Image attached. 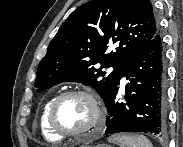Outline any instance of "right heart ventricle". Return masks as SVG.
<instances>
[{
    "instance_id": "1",
    "label": "right heart ventricle",
    "mask_w": 183,
    "mask_h": 147,
    "mask_svg": "<svg viewBox=\"0 0 183 147\" xmlns=\"http://www.w3.org/2000/svg\"><path fill=\"white\" fill-rule=\"evenodd\" d=\"M57 97L56 94L51 95L43 104L41 113H40V129L42 132V135L50 141H60L62 140V136L57 135L55 132L51 130V128L48 125L47 121V115L48 110L50 108L51 103L53 100Z\"/></svg>"
}]
</instances>
